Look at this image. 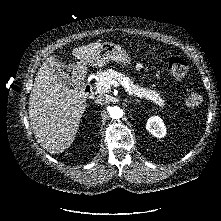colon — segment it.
I'll list each match as a JSON object with an SVG mask.
<instances>
[{
	"label": "colon",
	"mask_w": 221,
	"mask_h": 221,
	"mask_svg": "<svg viewBox=\"0 0 221 221\" xmlns=\"http://www.w3.org/2000/svg\"><path fill=\"white\" fill-rule=\"evenodd\" d=\"M168 70L169 73L176 77L182 78L186 75L188 67L186 62L177 56H173L168 61ZM203 103V96L198 91H192L186 97V104L191 108H197Z\"/></svg>",
	"instance_id": "colon-1"
}]
</instances>
